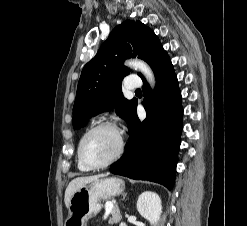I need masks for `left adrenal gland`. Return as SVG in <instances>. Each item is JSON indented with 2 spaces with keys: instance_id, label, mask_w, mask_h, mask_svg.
<instances>
[{
  "instance_id": "1",
  "label": "left adrenal gland",
  "mask_w": 247,
  "mask_h": 226,
  "mask_svg": "<svg viewBox=\"0 0 247 226\" xmlns=\"http://www.w3.org/2000/svg\"><path fill=\"white\" fill-rule=\"evenodd\" d=\"M126 196H127V193H124V194H123V199H125Z\"/></svg>"
}]
</instances>
